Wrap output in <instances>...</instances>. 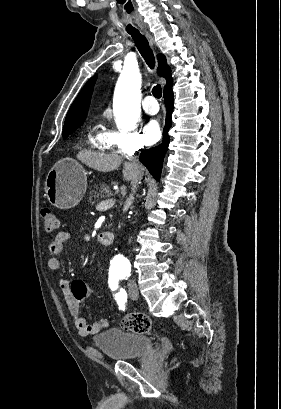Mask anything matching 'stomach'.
<instances>
[{
    "instance_id": "stomach-1",
    "label": "stomach",
    "mask_w": 281,
    "mask_h": 409,
    "mask_svg": "<svg viewBox=\"0 0 281 409\" xmlns=\"http://www.w3.org/2000/svg\"><path fill=\"white\" fill-rule=\"evenodd\" d=\"M87 188L85 168L74 158H60L45 180L46 196L57 209H72L83 198Z\"/></svg>"
}]
</instances>
